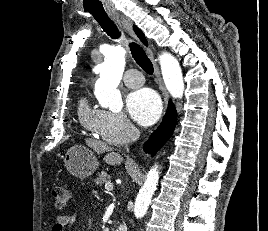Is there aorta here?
Returning a JSON list of instances; mask_svg holds the SVG:
<instances>
[{
	"label": "aorta",
	"instance_id": "1",
	"mask_svg": "<svg viewBox=\"0 0 268 231\" xmlns=\"http://www.w3.org/2000/svg\"><path fill=\"white\" fill-rule=\"evenodd\" d=\"M126 51L120 45L112 47L106 54L101 66L100 77L95 84V95L101 107L111 111H121L123 101L117 89L125 68ZM162 76L165 86L173 98H182L184 82L181 67L177 59L168 52L159 56ZM159 180L158 165L153 166L140 188L134 205V215L142 218L148 209Z\"/></svg>",
	"mask_w": 268,
	"mask_h": 231
}]
</instances>
